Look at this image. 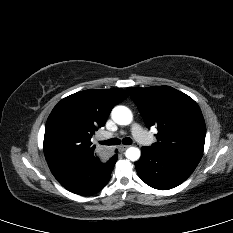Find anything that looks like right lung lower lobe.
<instances>
[{
	"label": "right lung lower lobe",
	"instance_id": "obj_1",
	"mask_svg": "<svg viewBox=\"0 0 233 233\" xmlns=\"http://www.w3.org/2000/svg\"><path fill=\"white\" fill-rule=\"evenodd\" d=\"M117 152V150L115 151ZM118 154L110 158L94 155L48 163L58 182L70 192L89 196L99 192L109 181Z\"/></svg>",
	"mask_w": 233,
	"mask_h": 233
}]
</instances>
